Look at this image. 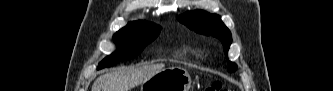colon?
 Returning a JSON list of instances; mask_svg holds the SVG:
<instances>
[{"mask_svg": "<svg viewBox=\"0 0 333 91\" xmlns=\"http://www.w3.org/2000/svg\"><path fill=\"white\" fill-rule=\"evenodd\" d=\"M205 91H223V85L221 82H213L205 88Z\"/></svg>", "mask_w": 333, "mask_h": 91, "instance_id": "obj_1", "label": "colon"}]
</instances>
